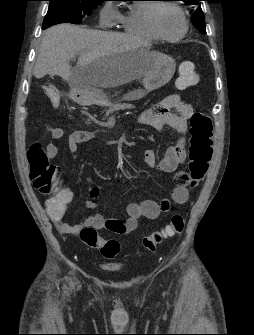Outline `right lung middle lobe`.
I'll list each match as a JSON object with an SVG mask.
<instances>
[{"label":"right lung middle lobe","mask_w":254,"mask_h":335,"mask_svg":"<svg viewBox=\"0 0 254 335\" xmlns=\"http://www.w3.org/2000/svg\"><path fill=\"white\" fill-rule=\"evenodd\" d=\"M50 5L43 21V29L58 23L79 24L90 15L102 0H48Z\"/></svg>","instance_id":"1"}]
</instances>
